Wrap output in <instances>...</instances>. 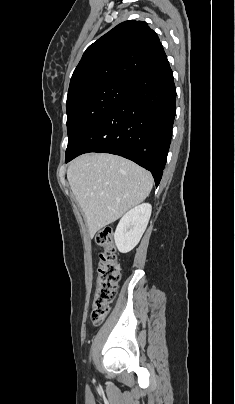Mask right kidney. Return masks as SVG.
<instances>
[{"instance_id":"obj_1","label":"right kidney","mask_w":235,"mask_h":404,"mask_svg":"<svg viewBox=\"0 0 235 404\" xmlns=\"http://www.w3.org/2000/svg\"><path fill=\"white\" fill-rule=\"evenodd\" d=\"M151 211L152 206L143 203L121 218L114 234L115 244L121 253L130 252L138 244L147 227Z\"/></svg>"}]
</instances>
